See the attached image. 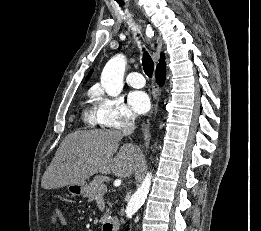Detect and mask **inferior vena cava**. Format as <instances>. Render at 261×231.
I'll return each instance as SVG.
<instances>
[{"label": "inferior vena cava", "mask_w": 261, "mask_h": 231, "mask_svg": "<svg viewBox=\"0 0 261 231\" xmlns=\"http://www.w3.org/2000/svg\"><path fill=\"white\" fill-rule=\"evenodd\" d=\"M135 130V118L127 116L122 126V134L125 136L131 135Z\"/></svg>", "instance_id": "602c4592"}]
</instances>
